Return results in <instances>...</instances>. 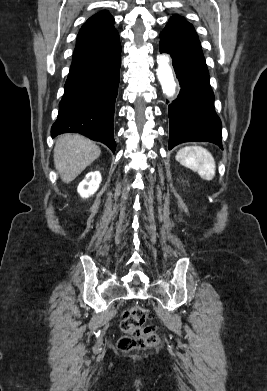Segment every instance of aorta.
I'll return each mask as SVG.
<instances>
[{
    "label": "aorta",
    "instance_id": "obj_1",
    "mask_svg": "<svg viewBox=\"0 0 267 391\" xmlns=\"http://www.w3.org/2000/svg\"><path fill=\"white\" fill-rule=\"evenodd\" d=\"M157 77L161 84L162 91L168 98L174 96L176 92V82L174 80L173 72L170 66V58L167 55L157 56Z\"/></svg>",
    "mask_w": 267,
    "mask_h": 391
}]
</instances>
